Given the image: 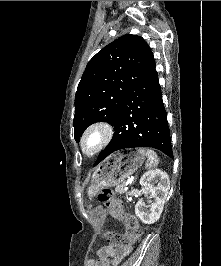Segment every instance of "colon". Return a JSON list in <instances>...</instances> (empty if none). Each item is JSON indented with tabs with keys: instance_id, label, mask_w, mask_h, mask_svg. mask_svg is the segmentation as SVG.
Returning a JSON list of instances; mask_svg holds the SVG:
<instances>
[{
	"instance_id": "obj_1",
	"label": "colon",
	"mask_w": 221,
	"mask_h": 266,
	"mask_svg": "<svg viewBox=\"0 0 221 266\" xmlns=\"http://www.w3.org/2000/svg\"><path fill=\"white\" fill-rule=\"evenodd\" d=\"M99 201L108 208L110 215L120 220L125 228V234L117 232H107L105 240L111 245H120L125 242H134L142 235V229L134 215L125 213L121 202L116 198L115 193L110 189H103L98 196ZM104 261H99L98 266H102Z\"/></svg>"
}]
</instances>
